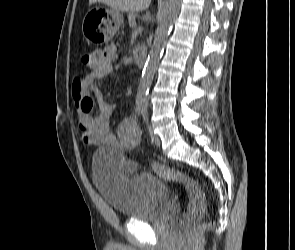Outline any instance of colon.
<instances>
[{"label":"colon","mask_w":295,"mask_h":250,"mask_svg":"<svg viewBox=\"0 0 295 250\" xmlns=\"http://www.w3.org/2000/svg\"><path fill=\"white\" fill-rule=\"evenodd\" d=\"M91 62V53H85L82 55L81 63L84 66H89ZM151 167L161 177L180 183L187 189L190 204L182 218V223L184 225L198 219L204 213L206 206L205 194L196 180L185 173L166 168L157 163H152Z\"/></svg>","instance_id":"obj_1"}]
</instances>
